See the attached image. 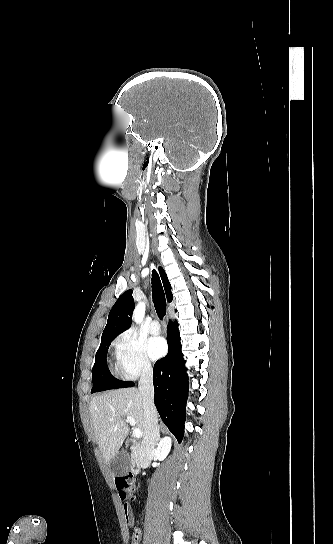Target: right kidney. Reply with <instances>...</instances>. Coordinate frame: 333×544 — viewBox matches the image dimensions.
<instances>
[{
    "label": "right kidney",
    "instance_id": "1",
    "mask_svg": "<svg viewBox=\"0 0 333 544\" xmlns=\"http://www.w3.org/2000/svg\"><path fill=\"white\" fill-rule=\"evenodd\" d=\"M171 445H172V440L170 437H164L163 439H161V441L157 445V448L154 451L155 457L158 460L163 461L169 454L171 450Z\"/></svg>",
    "mask_w": 333,
    "mask_h": 544
}]
</instances>
